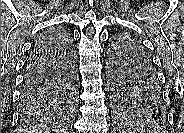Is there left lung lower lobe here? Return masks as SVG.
Returning a JSON list of instances; mask_svg holds the SVG:
<instances>
[{
	"label": "left lung lower lobe",
	"mask_w": 184,
	"mask_h": 133,
	"mask_svg": "<svg viewBox=\"0 0 184 133\" xmlns=\"http://www.w3.org/2000/svg\"><path fill=\"white\" fill-rule=\"evenodd\" d=\"M157 79H158L157 76L154 77L153 82L155 83V85H154V86H151V88H152L153 91L156 93V95H157V97H158V102H159L160 99L163 98V95H162V89H161L160 86L157 84V83L159 82ZM125 117H126V116H125ZM126 119H127L128 121H131L132 123H134V121H132L131 118L126 117ZM166 121H167V118H165L161 124H159V125L156 124L155 126H151V127H148V128L163 127V126H165ZM134 124H135V123H134Z\"/></svg>",
	"instance_id": "obj_1"
}]
</instances>
